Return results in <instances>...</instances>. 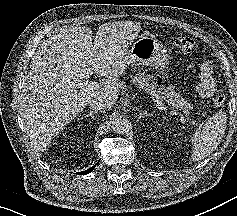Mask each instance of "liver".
<instances>
[{"instance_id": "liver-1", "label": "liver", "mask_w": 237, "mask_h": 216, "mask_svg": "<svg viewBox=\"0 0 237 216\" xmlns=\"http://www.w3.org/2000/svg\"><path fill=\"white\" fill-rule=\"evenodd\" d=\"M88 27L62 28L43 42L23 77L20 110L28 136L39 145L50 143L86 106L90 97L104 92L116 101L124 85L118 77L125 67L113 40L92 43ZM93 74L100 82L85 81ZM87 83V84H86Z\"/></svg>"}]
</instances>
